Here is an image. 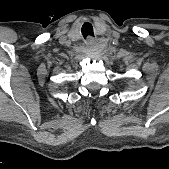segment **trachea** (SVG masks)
<instances>
[{"label": "trachea", "instance_id": "trachea-1", "mask_svg": "<svg viewBox=\"0 0 169 169\" xmlns=\"http://www.w3.org/2000/svg\"><path fill=\"white\" fill-rule=\"evenodd\" d=\"M81 32L84 39H87V37H94L93 27L89 22L83 24Z\"/></svg>", "mask_w": 169, "mask_h": 169}]
</instances>
